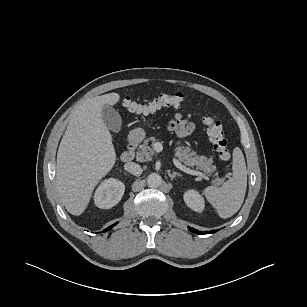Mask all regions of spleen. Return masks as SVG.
Masks as SVG:
<instances>
[{
    "mask_svg": "<svg viewBox=\"0 0 307 307\" xmlns=\"http://www.w3.org/2000/svg\"><path fill=\"white\" fill-rule=\"evenodd\" d=\"M232 157L233 176L221 187L208 186L203 190L221 218H229L240 209L247 188L246 163L241 149L234 148Z\"/></svg>",
    "mask_w": 307,
    "mask_h": 307,
    "instance_id": "spleen-1",
    "label": "spleen"
}]
</instances>
